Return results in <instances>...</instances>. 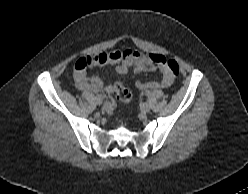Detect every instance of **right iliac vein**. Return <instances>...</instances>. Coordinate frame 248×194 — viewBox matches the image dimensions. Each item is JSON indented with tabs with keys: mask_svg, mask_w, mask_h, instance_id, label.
Segmentation results:
<instances>
[{
	"mask_svg": "<svg viewBox=\"0 0 248 194\" xmlns=\"http://www.w3.org/2000/svg\"><path fill=\"white\" fill-rule=\"evenodd\" d=\"M96 103L98 105H101L102 104V98L101 97H96Z\"/></svg>",
	"mask_w": 248,
	"mask_h": 194,
	"instance_id": "1",
	"label": "right iliac vein"
}]
</instances>
